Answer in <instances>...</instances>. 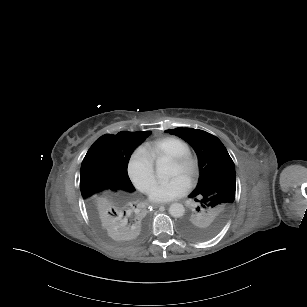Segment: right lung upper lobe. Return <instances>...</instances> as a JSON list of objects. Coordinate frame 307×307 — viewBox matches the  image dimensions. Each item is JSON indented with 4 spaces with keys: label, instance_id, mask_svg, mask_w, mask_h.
<instances>
[{
    "label": "right lung upper lobe",
    "instance_id": "1",
    "mask_svg": "<svg viewBox=\"0 0 307 307\" xmlns=\"http://www.w3.org/2000/svg\"><path fill=\"white\" fill-rule=\"evenodd\" d=\"M150 134L151 131L106 134L87 152L109 165L115 175L111 185L83 198L87 210L104 230L139 234L148 223L147 210L134 194L127 166L134 149Z\"/></svg>",
    "mask_w": 307,
    "mask_h": 307
}]
</instances>
